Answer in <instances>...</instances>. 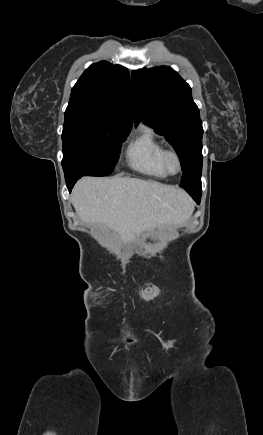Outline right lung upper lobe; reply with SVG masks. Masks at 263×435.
Listing matches in <instances>:
<instances>
[{
  "label": "right lung upper lobe",
  "instance_id": "cb5924a9",
  "mask_svg": "<svg viewBox=\"0 0 263 435\" xmlns=\"http://www.w3.org/2000/svg\"><path fill=\"white\" fill-rule=\"evenodd\" d=\"M72 112L130 130L136 108L128 70L107 61L92 64L72 88L65 114Z\"/></svg>",
  "mask_w": 263,
  "mask_h": 435
}]
</instances>
